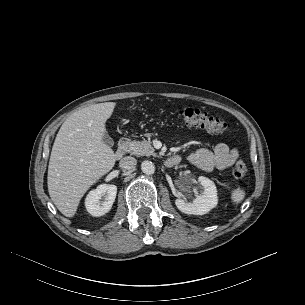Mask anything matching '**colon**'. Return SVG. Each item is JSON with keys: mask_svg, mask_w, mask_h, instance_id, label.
<instances>
[{"mask_svg": "<svg viewBox=\"0 0 305 305\" xmlns=\"http://www.w3.org/2000/svg\"><path fill=\"white\" fill-rule=\"evenodd\" d=\"M177 116L179 124L187 127L205 129L211 133L223 134L229 129V123L209 115L207 112L195 108L171 109ZM247 173L246 163L242 160L236 162L232 174L235 179H242Z\"/></svg>", "mask_w": 305, "mask_h": 305, "instance_id": "colon-1", "label": "colon"}]
</instances>
